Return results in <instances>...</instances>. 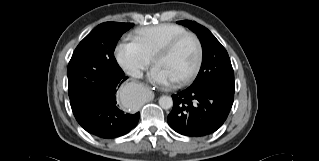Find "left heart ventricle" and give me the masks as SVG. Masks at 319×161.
Returning <instances> with one entry per match:
<instances>
[{
  "mask_svg": "<svg viewBox=\"0 0 319 161\" xmlns=\"http://www.w3.org/2000/svg\"><path fill=\"white\" fill-rule=\"evenodd\" d=\"M197 57V49L192 38L181 41L168 56L157 61L156 66L161 68L171 81L188 73Z\"/></svg>",
  "mask_w": 319,
  "mask_h": 161,
  "instance_id": "1",
  "label": "left heart ventricle"
}]
</instances>
